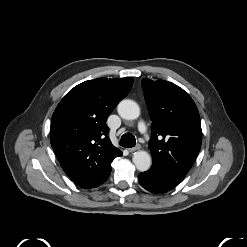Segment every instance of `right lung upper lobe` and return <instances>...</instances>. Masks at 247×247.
I'll return each mask as SVG.
<instances>
[{
    "label": "right lung upper lobe",
    "mask_w": 247,
    "mask_h": 247,
    "mask_svg": "<svg viewBox=\"0 0 247 247\" xmlns=\"http://www.w3.org/2000/svg\"><path fill=\"white\" fill-rule=\"evenodd\" d=\"M132 83V77L85 81L71 89L53 113L52 148L65 173L83 189L106 181L111 162L122 155L108 137L106 120Z\"/></svg>",
    "instance_id": "obj_1"
}]
</instances>
